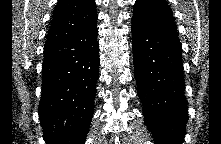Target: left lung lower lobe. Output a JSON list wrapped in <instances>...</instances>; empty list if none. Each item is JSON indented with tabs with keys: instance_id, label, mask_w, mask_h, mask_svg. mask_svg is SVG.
<instances>
[{
	"instance_id": "0a47b994",
	"label": "left lung lower lobe",
	"mask_w": 221,
	"mask_h": 144,
	"mask_svg": "<svg viewBox=\"0 0 221 144\" xmlns=\"http://www.w3.org/2000/svg\"><path fill=\"white\" fill-rule=\"evenodd\" d=\"M135 80L144 122L156 144H182L186 134L182 46L176 30L132 19Z\"/></svg>"
}]
</instances>
